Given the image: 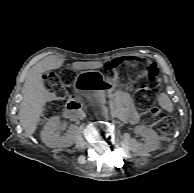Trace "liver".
I'll return each instance as SVG.
<instances>
[{
	"mask_svg": "<svg viewBox=\"0 0 194 193\" xmlns=\"http://www.w3.org/2000/svg\"><path fill=\"white\" fill-rule=\"evenodd\" d=\"M63 62L64 59L62 58L47 57L31 67L28 72L23 86V100L18 113L20 124L28 137L36 131L40 116L49 97L42 74L60 68ZM102 65L99 61L72 63L75 70L96 69Z\"/></svg>",
	"mask_w": 194,
	"mask_h": 193,
	"instance_id": "6515ba94",
	"label": "liver"
}]
</instances>
